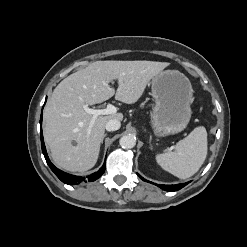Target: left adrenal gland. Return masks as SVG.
Instances as JSON below:
<instances>
[{"mask_svg": "<svg viewBox=\"0 0 247 247\" xmlns=\"http://www.w3.org/2000/svg\"><path fill=\"white\" fill-rule=\"evenodd\" d=\"M149 140H150V143H151V141H152V136L151 135H150V139ZM151 148H152V145H151Z\"/></svg>", "mask_w": 247, "mask_h": 247, "instance_id": "obj_1", "label": "left adrenal gland"}]
</instances>
